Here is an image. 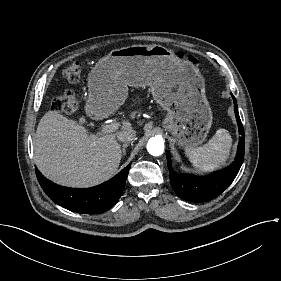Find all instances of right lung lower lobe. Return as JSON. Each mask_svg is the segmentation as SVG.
<instances>
[{
	"instance_id": "98d812e1",
	"label": "right lung lower lobe",
	"mask_w": 281,
	"mask_h": 281,
	"mask_svg": "<svg viewBox=\"0 0 281 281\" xmlns=\"http://www.w3.org/2000/svg\"><path fill=\"white\" fill-rule=\"evenodd\" d=\"M131 163L109 181L86 190H71L47 182L36 170L45 193L58 205L82 214H96L109 210L122 195Z\"/></svg>"
}]
</instances>
